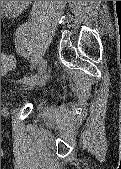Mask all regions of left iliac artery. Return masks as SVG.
I'll use <instances>...</instances> for the list:
<instances>
[{
    "instance_id": "1",
    "label": "left iliac artery",
    "mask_w": 121,
    "mask_h": 169,
    "mask_svg": "<svg viewBox=\"0 0 121 169\" xmlns=\"http://www.w3.org/2000/svg\"><path fill=\"white\" fill-rule=\"evenodd\" d=\"M24 31H26V26H19V30L15 31V47L14 50L18 52V54H25V49H23V35ZM46 70V65L40 64L39 69H36V74L25 76L19 82L22 84H28L30 81L36 79L40 74H42Z\"/></svg>"
}]
</instances>
